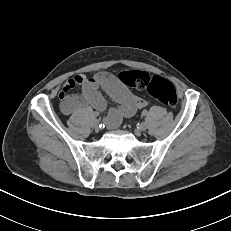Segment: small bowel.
<instances>
[{"label":"small bowel","mask_w":231,"mask_h":231,"mask_svg":"<svg viewBox=\"0 0 231 231\" xmlns=\"http://www.w3.org/2000/svg\"><path fill=\"white\" fill-rule=\"evenodd\" d=\"M76 86L81 87L82 93L70 94ZM101 90L117 103L105 117L109 128H116L123 118L131 117L147 106V101L133 94L118 77L109 72H98L90 77L79 74L64 82L59 93L62 112L71 115L87 107L103 112L107 104Z\"/></svg>","instance_id":"obj_1"}]
</instances>
